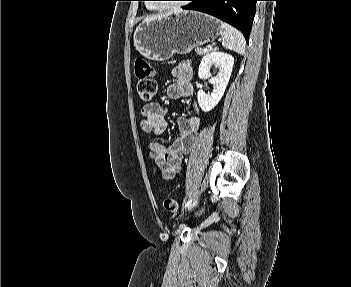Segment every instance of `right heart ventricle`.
I'll return each mask as SVG.
<instances>
[{
    "mask_svg": "<svg viewBox=\"0 0 351 287\" xmlns=\"http://www.w3.org/2000/svg\"><path fill=\"white\" fill-rule=\"evenodd\" d=\"M149 8H150V9H157V8H155V7H152L151 5L149 6Z\"/></svg>",
    "mask_w": 351,
    "mask_h": 287,
    "instance_id": "e07e8e85",
    "label": "right heart ventricle"
}]
</instances>
